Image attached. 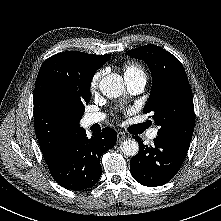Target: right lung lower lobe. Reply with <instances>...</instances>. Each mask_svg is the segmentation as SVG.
I'll return each instance as SVG.
<instances>
[{"label": "right lung lower lobe", "instance_id": "98d812e1", "mask_svg": "<svg viewBox=\"0 0 221 221\" xmlns=\"http://www.w3.org/2000/svg\"><path fill=\"white\" fill-rule=\"evenodd\" d=\"M116 131L104 128L90 139L84 129L71 138L56 157L47 162L55 181L66 189L83 190L94 186L102 174L101 155L111 149Z\"/></svg>", "mask_w": 221, "mask_h": 221}]
</instances>
